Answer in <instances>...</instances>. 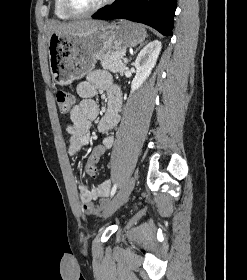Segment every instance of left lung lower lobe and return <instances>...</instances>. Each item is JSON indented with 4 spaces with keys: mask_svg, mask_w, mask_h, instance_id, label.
<instances>
[{
    "mask_svg": "<svg viewBox=\"0 0 247 280\" xmlns=\"http://www.w3.org/2000/svg\"><path fill=\"white\" fill-rule=\"evenodd\" d=\"M176 8L177 0H116L93 18L128 19L149 25L164 36H171Z\"/></svg>",
    "mask_w": 247,
    "mask_h": 280,
    "instance_id": "0a47b994",
    "label": "left lung lower lobe"
}]
</instances>
